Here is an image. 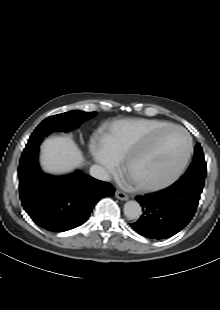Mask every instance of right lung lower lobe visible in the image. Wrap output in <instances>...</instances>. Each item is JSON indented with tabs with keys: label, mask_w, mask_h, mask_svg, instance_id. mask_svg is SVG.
<instances>
[{
	"label": "right lung lower lobe",
	"mask_w": 220,
	"mask_h": 310,
	"mask_svg": "<svg viewBox=\"0 0 220 310\" xmlns=\"http://www.w3.org/2000/svg\"><path fill=\"white\" fill-rule=\"evenodd\" d=\"M38 146L24 149L18 168L22 206L40 227L62 232L85 223L95 204L114 195V188L80 171L53 177L38 164Z\"/></svg>",
	"instance_id": "obj_1"
}]
</instances>
